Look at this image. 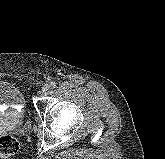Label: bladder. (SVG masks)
<instances>
[{
  "label": "bladder",
  "instance_id": "31cf9c89",
  "mask_svg": "<svg viewBox=\"0 0 165 159\" xmlns=\"http://www.w3.org/2000/svg\"><path fill=\"white\" fill-rule=\"evenodd\" d=\"M0 106L7 107L11 111L0 112V122L14 116L21 118L25 112V98L21 89L13 83L0 81Z\"/></svg>",
  "mask_w": 165,
  "mask_h": 159
}]
</instances>
